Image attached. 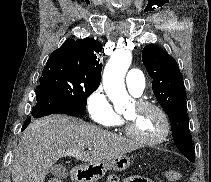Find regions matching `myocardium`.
I'll list each match as a JSON object with an SVG mask.
<instances>
[{"label":"myocardium","mask_w":211,"mask_h":182,"mask_svg":"<svg viewBox=\"0 0 211 182\" xmlns=\"http://www.w3.org/2000/svg\"><path fill=\"white\" fill-rule=\"evenodd\" d=\"M135 104L137 107H140V108L149 107V108L156 110L159 113V115L163 121V130L157 137H155L153 139L141 138L140 136H138L137 134H135L133 132L129 120L124 116L123 123H124V131H125L126 135L128 137H130L132 140L136 141L137 143L146 145V146L158 145V144L162 143L163 141H165L171 131L170 119H169L167 113L165 112V110L160 105H158L154 102L148 101V100L140 99V100H137L135 102Z\"/></svg>","instance_id":"f54148a6"}]
</instances>
